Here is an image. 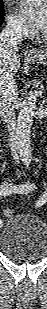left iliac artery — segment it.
Wrapping results in <instances>:
<instances>
[{"mask_svg": "<svg viewBox=\"0 0 47 309\" xmlns=\"http://www.w3.org/2000/svg\"><path fill=\"white\" fill-rule=\"evenodd\" d=\"M46 202V198L45 197H42L38 202H37V205H43L44 203Z\"/></svg>", "mask_w": 47, "mask_h": 309, "instance_id": "left-iliac-artery-1", "label": "left iliac artery"}]
</instances>
